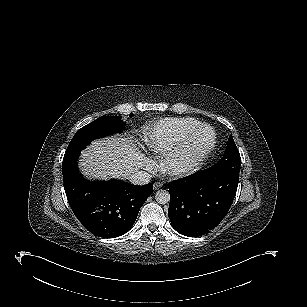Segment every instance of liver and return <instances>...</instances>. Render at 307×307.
Segmentation results:
<instances>
[{
  "label": "liver",
  "mask_w": 307,
  "mask_h": 307,
  "mask_svg": "<svg viewBox=\"0 0 307 307\" xmlns=\"http://www.w3.org/2000/svg\"><path fill=\"white\" fill-rule=\"evenodd\" d=\"M89 180H126L139 169V154L129 140L118 137L96 140L81 152L78 162Z\"/></svg>",
  "instance_id": "liver-1"
}]
</instances>
